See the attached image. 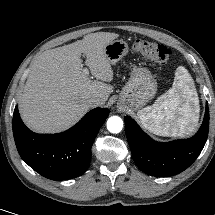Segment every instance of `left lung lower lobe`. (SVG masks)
Here are the masks:
<instances>
[{
  "label": "left lung lower lobe",
  "mask_w": 215,
  "mask_h": 215,
  "mask_svg": "<svg viewBox=\"0 0 215 215\" xmlns=\"http://www.w3.org/2000/svg\"><path fill=\"white\" fill-rule=\"evenodd\" d=\"M124 119L133 159L141 171L152 176H171L187 169L201 153L208 137V103L200 129L188 139L160 143L143 132L131 117Z\"/></svg>",
  "instance_id": "left-lung-lower-lobe-1"
}]
</instances>
